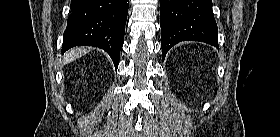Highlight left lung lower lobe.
<instances>
[{"instance_id": "0a47b994", "label": "left lung lower lobe", "mask_w": 280, "mask_h": 137, "mask_svg": "<svg viewBox=\"0 0 280 137\" xmlns=\"http://www.w3.org/2000/svg\"><path fill=\"white\" fill-rule=\"evenodd\" d=\"M160 19L163 60L168 50L181 41L218 47L212 0H160Z\"/></svg>"}]
</instances>
